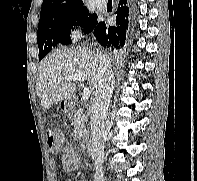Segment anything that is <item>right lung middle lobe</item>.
I'll return each instance as SVG.
<instances>
[{
    "label": "right lung middle lobe",
    "mask_w": 197,
    "mask_h": 181,
    "mask_svg": "<svg viewBox=\"0 0 197 181\" xmlns=\"http://www.w3.org/2000/svg\"><path fill=\"white\" fill-rule=\"evenodd\" d=\"M97 18L96 14H89L86 7L41 18L37 32L39 59L45 57L59 43L70 44L69 34L73 26L84 27L85 33L92 32L98 23Z\"/></svg>",
    "instance_id": "obj_1"
}]
</instances>
